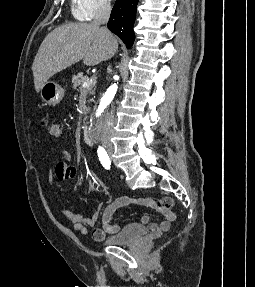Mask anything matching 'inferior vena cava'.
I'll use <instances>...</instances> for the list:
<instances>
[{"label":"inferior vena cava","mask_w":255,"mask_h":287,"mask_svg":"<svg viewBox=\"0 0 255 287\" xmlns=\"http://www.w3.org/2000/svg\"><path fill=\"white\" fill-rule=\"evenodd\" d=\"M111 14V6L109 2H105V0H100L97 8V12L95 14V18L93 20V24H107ZM101 30H105L107 34H109V30H107L106 26H103ZM108 72H111V66H108L107 68ZM114 124V112H110L108 114V122L107 126H104L102 132H101V142L104 147H113L111 142V130L113 128Z\"/></svg>","instance_id":"1"}]
</instances>
